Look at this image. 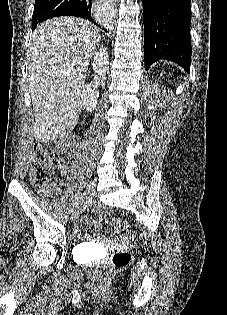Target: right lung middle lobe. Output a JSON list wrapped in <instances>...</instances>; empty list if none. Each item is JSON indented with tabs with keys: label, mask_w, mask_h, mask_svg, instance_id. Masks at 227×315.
Here are the masks:
<instances>
[{
	"label": "right lung middle lobe",
	"mask_w": 227,
	"mask_h": 315,
	"mask_svg": "<svg viewBox=\"0 0 227 315\" xmlns=\"http://www.w3.org/2000/svg\"><path fill=\"white\" fill-rule=\"evenodd\" d=\"M74 0H35L32 15V29L34 30L41 22L57 16L58 9H64L71 5Z\"/></svg>",
	"instance_id": "dd1d6c3e"
}]
</instances>
